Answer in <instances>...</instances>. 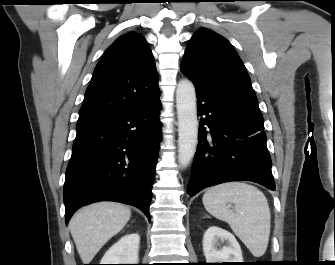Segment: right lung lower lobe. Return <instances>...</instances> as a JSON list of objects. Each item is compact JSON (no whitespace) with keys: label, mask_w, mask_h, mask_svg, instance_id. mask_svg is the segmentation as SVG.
Returning <instances> with one entry per match:
<instances>
[{"label":"right lung lower lobe","mask_w":335,"mask_h":265,"mask_svg":"<svg viewBox=\"0 0 335 265\" xmlns=\"http://www.w3.org/2000/svg\"><path fill=\"white\" fill-rule=\"evenodd\" d=\"M159 98L146 106L79 122L64 183L65 221L103 200L140 208L150 220L161 130Z\"/></svg>","instance_id":"obj_1"}]
</instances>
